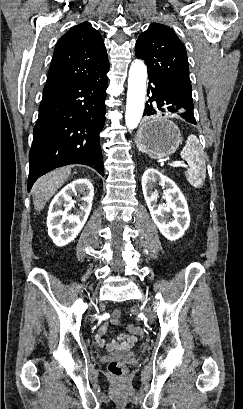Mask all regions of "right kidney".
<instances>
[{
    "mask_svg": "<svg viewBox=\"0 0 243 409\" xmlns=\"http://www.w3.org/2000/svg\"><path fill=\"white\" fill-rule=\"evenodd\" d=\"M82 194L80 210L71 213L75 201L72 196ZM94 188L87 179H77L66 185L50 203L48 234L57 246H65L80 233L92 208ZM64 208V210H63Z\"/></svg>",
    "mask_w": 243,
    "mask_h": 409,
    "instance_id": "1",
    "label": "right kidney"
}]
</instances>
